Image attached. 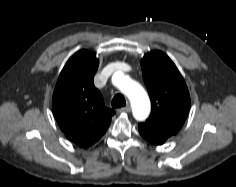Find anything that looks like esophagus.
<instances>
[{
  "label": "esophagus",
  "mask_w": 236,
  "mask_h": 187,
  "mask_svg": "<svg viewBox=\"0 0 236 187\" xmlns=\"http://www.w3.org/2000/svg\"><path fill=\"white\" fill-rule=\"evenodd\" d=\"M130 111H131L130 106L122 107L121 109H119L120 113H129Z\"/></svg>",
  "instance_id": "esophagus-1"
}]
</instances>
